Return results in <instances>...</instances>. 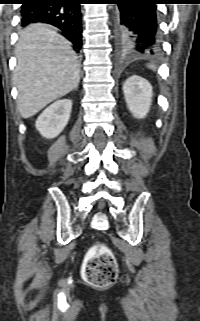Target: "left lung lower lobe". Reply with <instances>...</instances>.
I'll return each instance as SVG.
<instances>
[{
	"label": "left lung lower lobe",
	"instance_id": "obj_1",
	"mask_svg": "<svg viewBox=\"0 0 200 321\" xmlns=\"http://www.w3.org/2000/svg\"><path fill=\"white\" fill-rule=\"evenodd\" d=\"M162 0H114L120 54H156L160 50L156 4Z\"/></svg>",
	"mask_w": 200,
	"mask_h": 321
}]
</instances>
